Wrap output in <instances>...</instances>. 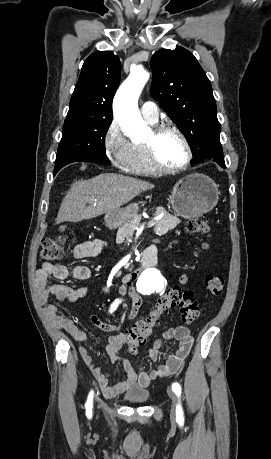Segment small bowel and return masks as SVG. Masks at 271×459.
Instances as JSON below:
<instances>
[{
	"label": "small bowel",
	"mask_w": 271,
	"mask_h": 459,
	"mask_svg": "<svg viewBox=\"0 0 271 459\" xmlns=\"http://www.w3.org/2000/svg\"><path fill=\"white\" fill-rule=\"evenodd\" d=\"M110 246V242L106 240H90L76 245L72 251V255L76 259H84L89 257H96L106 251ZM155 264V258L152 254H145L143 258V265L151 267ZM69 276L76 280H87L91 276V270L82 265H76L69 269L61 264H53L46 262L42 264L41 268L36 273V286L39 298L43 304L44 313L49 323L60 330L69 333L76 342L79 344V354L84 364L90 369L93 377L98 382L100 390L104 397L113 398L132 388H147L153 381L168 377L175 374L183 365L185 359L188 357L194 343V338L190 330L185 326H175L167 329L163 333L164 340L178 341V348L175 353L170 355L168 359L159 364L156 368L146 372L140 371L129 361L122 359L119 356V351L126 342L125 334L121 332V324H112L104 322L98 316L92 314L90 316L91 322L105 332H113L110 336L106 352L112 362H119L122 364L126 377L124 380L111 384L109 376L104 373L100 368L95 366L92 356L84 346L87 339L86 333L79 329L75 323L65 317L56 306L47 303L50 296H54L59 301L75 302L88 293L87 287L74 288L62 283L50 284V279L63 281ZM134 275H127L124 277V285L120 288V293L125 294L127 286L131 283ZM180 283L185 284L187 277L180 276ZM141 306L140 298L136 297L132 304L129 319L136 318ZM162 349V340L158 339L154 342L153 346L148 349L147 354L153 361L158 360Z\"/></svg>",
	"instance_id": "c3829d8e"
}]
</instances>
